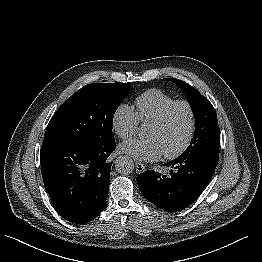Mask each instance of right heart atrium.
<instances>
[{
    "mask_svg": "<svg viewBox=\"0 0 262 262\" xmlns=\"http://www.w3.org/2000/svg\"><path fill=\"white\" fill-rule=\"evenodd\" d=\"M111 126L119 139L127 140L136 134L139 120L135 111L130 106L120 104L112 114Z\"/></svg>",
    "mask_w": 262,
    "mask_h": 262,
    "instance_id": "1",
    "label": "right heart atrium"
}]
</instances>
